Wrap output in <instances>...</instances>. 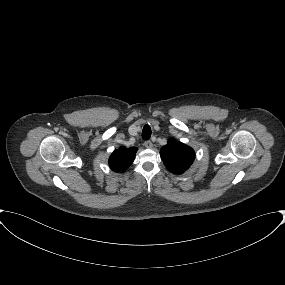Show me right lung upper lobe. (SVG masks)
<instances>
[{
  "mask_svg": "<svg viewBox=\"0 0 285 285\" xmlns=\"http://www.w3.org/2000/svg\"><path fill=\"white\" fill-rule=\"evenodd\" d=\"M137 148L120 147L109 158V166L115 172H124L132 164Z\"/></svg>",
  "mask_w": 285,
  "mask_h": 285,
  "instance_id": "right-lung-upper-lobe-1",
  "label": "right lung upper lobe"
}]
</instances>
